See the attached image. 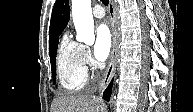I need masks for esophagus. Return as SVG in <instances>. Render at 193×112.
Wrapping results in <instances>:
<instances>
[{"label":"esophagus","instance_id":"1","mask_svg":"<svg viewBox=\"0 0 193 112\" xmlns=\"http://www.w3.org/2000/svg\"><path fill=\"white\" fill-rule=\"evenodd\" d=\"M108 11H109L110 23H111L112 47H111V53L109 56L108 66L105 70V73L103 75V78L99 86L100 95L106 89L114 74L116 61H117V52H118V31H117L116 10H115L114 0L109 1Z\"/></svg>","mask_w":193,"mask_h":112}]
</instances>
